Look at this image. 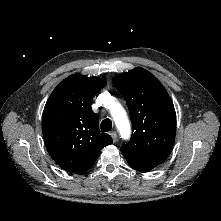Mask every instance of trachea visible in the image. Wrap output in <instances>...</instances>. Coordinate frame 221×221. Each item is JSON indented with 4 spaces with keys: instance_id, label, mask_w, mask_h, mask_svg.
<instances>
[{
    "instance_id": "3493384b",
    "label": "trachea",
    "mask_w": 221,
    "mask_h": 221,
    "mask_svg": "<svg viewBox=\"0 0 221 221\" xmlns=\"http://www.w3.org/2000/svg\"><path fill=\"white\" fill-rule=\"evenodd\" d=\"M100 128L103 132H109L112 128V121L109 118L104 119L101 122Z\"/></svg>"
}]
</instances>
